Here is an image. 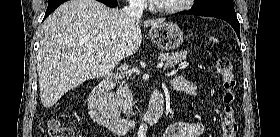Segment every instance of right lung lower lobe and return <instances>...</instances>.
<instances>
[{
  "label": "right lung lower lobe",
  "mask_w": 280,
  "mask_h": 137,
  "mask_svg": "<svg viewBox=\"0 0 280 137\" xmlns=\"http://www.w3.org/2000/svg\"><path fill=\"white\" fill-rule=\"evenodd\" d=\"M65 1H67V0H49L44 19L47 18L60 4H62ZM98 1L104 3L108 7H116L117 6V1L116 0H98Z\"/></svg>",
  "instance_id": "obj_1"
}]
</instances>
